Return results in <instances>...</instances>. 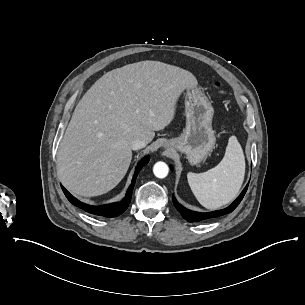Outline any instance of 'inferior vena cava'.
Here are the masks:
<instances>
[{
  "mask_svg": "<svg viewBox=\"0 0 305 305\" xmlns=\"http://www.w3.org/2000/svg\"><path fill=\"white\" fill-rule=\"evenodd\" d=\"M130 146H131V149L138 150V149L144 148L146 146V142L141 139H134L130 143Z\"/></svg>",
  "mask_w": 305,
  "mask_h": 305,
  "instance_id": "602c4592",
  "label": "inferior vena cava"
}]
</instances>
